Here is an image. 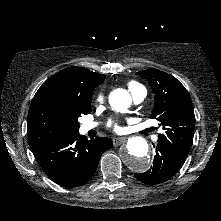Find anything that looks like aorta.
Returning <instances> with one entry per match:
<instances>
[{"mask_svg": "<svg viewBox=\"0 0 221 221\" xmlns=\"http://www.w3.org/2000/svg\"><path fill=\"white\" fill-rule=\"evenodd\" d=\"M109 103L114 110L125 112L131 104V96L125 89H116L110 93ZM121 158L124 165L132 171H146L151 164L147 141L141 136L129 138Z\"/></svg>", "mask_w": 221, "mask_h": 221, "instance_id": "1", "label": "aorta"}]
</instances>
